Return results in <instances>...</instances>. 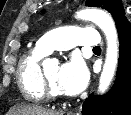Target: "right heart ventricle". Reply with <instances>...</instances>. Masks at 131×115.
<instances>
[{
	"label": "right heart ventricle",
	"instance_id": "right-heart-ventricle-1",
	"mask_svg": "<svg viewBox=\"0 0 131 115\" xmlns=\"http://www.w3.org/2000/svg\"><path fill=\"white\" fill-rule=\"evenodd\" d=\"M48 53L37 45L25 52L18 63L17 84L23 98L39 103L45 99L41 83V60Z\"/></svg>",
	"mask_w": 131,
	"mask_h": 115
}]
</instances>
